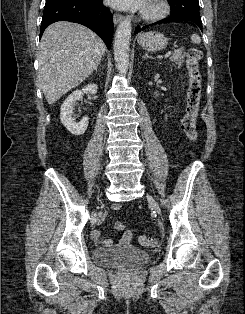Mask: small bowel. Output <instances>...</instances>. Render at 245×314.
<instances>
[{
    "label": "small bowel",
    "instance_id": "1",
    "mask_svg": "<svg viewBox=\"0 0 245 314\" xmlns=\"http://www.w3.org/2000/svg\"><path fill=\"white\" fill-rule=\"evenodd\" d=\"M115 208H117V207H115ZM120 224H121V223H117V224L115 225V228H116L117 230L123 231L124 228H125V226H124L123 228H121V227H120ZM93 236H94L96 239H98L99 242H100L102 245H104V246H110V245L112 244V241H111L110 239L103 238L98 230H95V231L93 232ZM132 237H133V235H132V232H131V231H129V230H124L122 236H121L120 239H119V242H120V244H122V245H127V244H129V243L131 242Z\"/></svg>",
    "mask_w": 245,
    "mask_h": 314
}]
</instances>
